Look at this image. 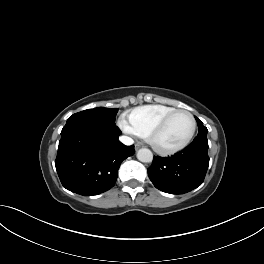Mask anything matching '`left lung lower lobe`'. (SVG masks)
<instances>
[{"label":"left lung lower lobe","instance_id":"0a47b994","mask_svg":"<svg viewBox=\"0 0 264 264\" xmlns=\"http://www.w3.org/2000/svg\"><path fill=\"white\" fill-rule=\"evenodd\" d=\"M208 165L207 137L197 136L188 147L171 157L154 156L148 175L157 189L184 194L202 184Z\"/></svg>","mask_w":264,"mask_h":264}]
</instances>
